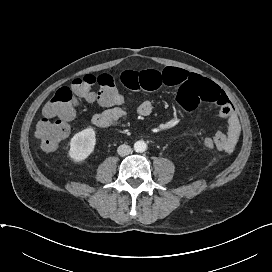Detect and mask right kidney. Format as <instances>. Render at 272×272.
I'll list each match as a JSON object with an SVG mask.
<instances>
[{"instance_id": "1", "label": "right kidney", "mask_w": 272, "mask_h": 272, "mask_svg": "<svg viewBox=\"0 0 272 272\" xmlns=\"http://www.w3.org/2000/svg\"><path fill=\"white\" fill-rule=\"evenodd\" d=\"M96 133L91 127L76 133L70 142L69 156L75 162H82L94 151Z\"/></svg>"}]
</instances>
